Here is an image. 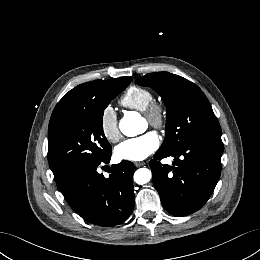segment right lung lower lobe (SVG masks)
Returning <instances> with one entry per match:
<instances>
[{
	"instance_id": "1",
	"label": "right lung lower lobe",
	"mask_w": 260,
	"mask_h": 260,
	"mask_svg": "<svg viewBox=\"0 0 260 260\" xmlns=\"http://www.w3.org/2000/svg\"><path fill=\"white\" fill-rule=\"evenodd\" d=\"M104 159L70 169L56 179L57 187L71 208L86 221L99 226H114L124 222L134 208L132 162L122 160L112 165L109 178L97 168L109 163Z\"/></svg>"
}]
</instances>
